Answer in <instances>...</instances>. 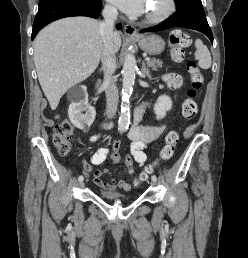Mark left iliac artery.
<instances>
[{
	"label": "left iliac artery",
	"mask_w": 248,
	"mask_h": 258,
	"mask_svg": "<svg viewBox=\"0 0 248 258\" xmlns=\"http://www.w3.org/2000/svg\"><path fill=\"white\" fill-rule=\"evenodd\" d=\"M151 179L156 182L157 181L156 175H153Z\"/></svg>",
	"instance_id": "obj_1"
}]
</instances>
